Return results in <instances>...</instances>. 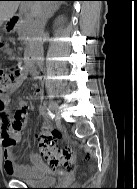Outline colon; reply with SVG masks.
<instances>
[{
  "label": "colon",
  "instance_id": "colon-1",
  "mask_svg": "<svg viewBox=\"0 0 137 189\" xmlns=\"http://www.w3.org/2000/svg\"><path fill=\"white\" fill-rule=\"evenodd\" d=\"M20 72H7L0 69V98L7 96L16 86ZM14 131L23 128L21 119L11 124ZM61 133L58 129H52L39 137V149L48 164L55 170L71 172L73 169V151L69 146L61 145Z\"/></svg>",
  "mask_w": 137,
  "mask_h": 189
}]
</instances>
